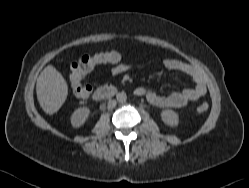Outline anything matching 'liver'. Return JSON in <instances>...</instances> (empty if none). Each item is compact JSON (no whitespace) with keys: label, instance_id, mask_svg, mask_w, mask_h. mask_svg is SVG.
Here are the masks:
<instances>
[{"label":"liver","instance_id":"obj_1","mask_svg":"<svg viewBox=\"0 0 249 188\" xmlns=\"http://www.w3.org/2000/svg\"><path fill=\"white\" fill-rule=\"evenodd\" d=\"M38 102L45 113L57 112L67 99L68 86L62 74L52 65L46 66L36 83Z\"/></svg>","mask_w":249,"mask_h":188}]
</instances>
